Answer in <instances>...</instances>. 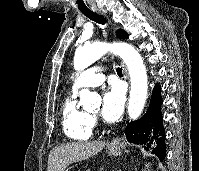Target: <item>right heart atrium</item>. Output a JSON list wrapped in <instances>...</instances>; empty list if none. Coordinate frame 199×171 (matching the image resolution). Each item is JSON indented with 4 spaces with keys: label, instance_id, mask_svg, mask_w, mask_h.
Listing matches in <instances>:
<instances>
[{
    "label": "right heart atrium",
    "instance_id": "d8ad5b80",
    "mask_svg": "<svg viewBox=\"0 0 199 171\" xmlns=\"http://www.w3.org/2000/svg\"><path fill=\"white\" fill-rule=\"evenodd\" d=\"M92 120H93V123H94V121H95L94 118H92Z\"/></svg>",
    "mask_w": 199,
    "mask_h": 171
}]
</instances>
